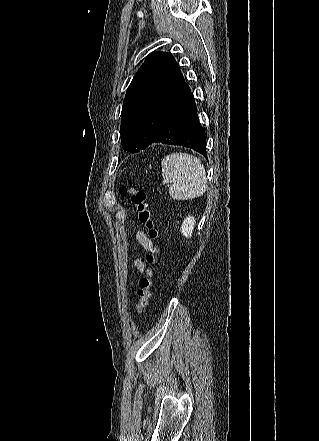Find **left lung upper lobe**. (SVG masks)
<instances>
[{
    "label": "left lung upper lobe",
    "instance_id": "obj_1",
    "mask_svg": "<svg viewBox=\"0 0 319 441\" xmlns=\"http://www.w3.org/2000/svg\"><path fill=\"white\" fill-rule=\"evenodd\" d=\"M190 88L170 53H151L134 76L121 112V142L132 153L144 150Z\"/></svg>",
    "mask_w": 319,
    "mask_h": 441
}]
</instances>
